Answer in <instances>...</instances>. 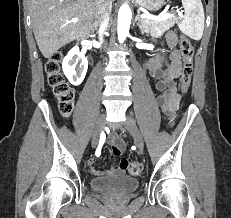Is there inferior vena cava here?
<instances>
[{"mask_svg":"<svg viewBox=\"0 0 231 218\" xmlns=\"http://www.w3.org/2000/svg\"><path fill=\"white\" fill-rule=\"evenodd\" d=\"M112 11V0H96V19L99 26L100 39L107 30Z\"/></svg>","mask_w":231,"mask_h":218,"instance_id":"1","label":"inferior vena cava"}]
</instances>
